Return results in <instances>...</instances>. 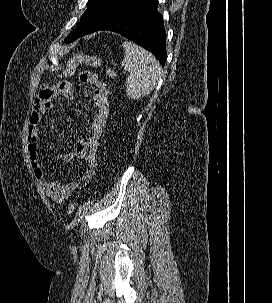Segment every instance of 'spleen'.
<instances>
[{
	"label": "spleen",
	"instance_id": "1",
	"mask_svg": "<svg viewBox=\"0 0 272 303\" xmlns=\"http://www.w3.org/2000/svg\"><path fill=\"white\" fill-rule=\"evenodd\" d=\"M122 67L129 72L126 78V95L137 100L149 95L161 78V65L158 60L135 43L125 41Z\"/></svg>",
	"mask_w": 272,
	"mask_h": 303
}]
</instances>
